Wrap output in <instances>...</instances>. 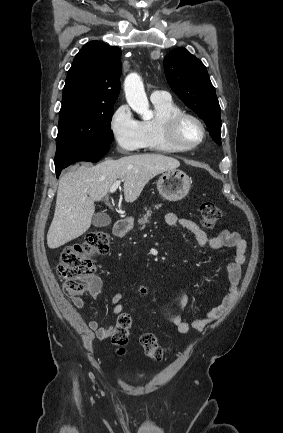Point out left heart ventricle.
Returning <instances> with one entry per match:
<instances>
[{
  "mask_svg": "<svg viewBox=\"0 0 283 433\" xmlns=\"http://www.w3.org/2000/svg\"><path fill=\"white\" fill-rule=\"evenodd\" d=\"M201 130L199 126L192 120L184 121L178 130V139L184 145H190L200 139Z\"/></svg>",
  "mask_w": 283,
  "mask_h": 433,
  "instance_id": "b2bd125f",
  "label": "left heart ventricle"
}]
</instances>
